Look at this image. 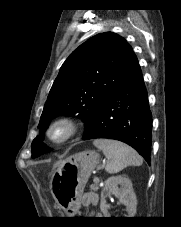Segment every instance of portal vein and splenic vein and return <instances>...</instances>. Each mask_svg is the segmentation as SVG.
Returning a JSON list of instances; mask_svg holds the SVG:
<instances>
[{"instance_id":"obj_1","label":"portal vein and splenic vein","mask_w":181,"mask_h":227,"mask_svg":"<svg viewBox=\"0 0 181 227\" xmlns=\"http://www.w3.org/2000/svg\"><path fill=\"white\" fill-rule=\"evenodd\" d=\"M95 183H99V179L97 177L94 178L93 180Z\"/></svg>"}]
</instances>
